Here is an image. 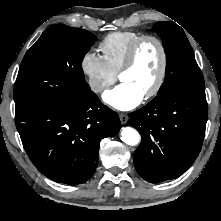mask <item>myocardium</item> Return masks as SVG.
Masks as SVG:
<instances>
[{
    "instance_id": "obj_1",
    "label": "myocardium",
    "mask_w": 221,
    "mask_h": 221,
    "mask_svg": "<svg viewBox=\"0 0 221 221\" xmlns=\"http://www.w3.org/2000/svg\"><path fill=\"white\" fill-rule=\"evenodd\" d=\"M147 41H152L157 44L159 51H160V57H161L160 68H159L157 79H156L154 85L152 86V88L144 95L145 98L149 99V98L156 96L159 93V91L161 90V88L165 82L167 68H168L167 50H166V47H165L163 41L159 37H157L155 35H151V34H146V35L140 36L130 46V48L127 52L125 61L119 71V77L124 72H126L127 70L131 69L134 66L141 46Z\"/></svg>"
}]
</instances>
